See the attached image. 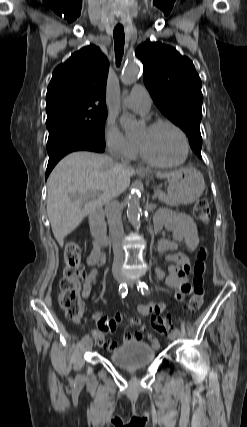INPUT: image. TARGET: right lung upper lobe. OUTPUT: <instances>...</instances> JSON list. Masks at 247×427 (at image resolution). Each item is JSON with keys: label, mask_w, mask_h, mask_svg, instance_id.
<instances>
[{"label": "right lung upper lobe", "mask_w": 247, "mask_h": 427, "mask_svg": "<svg viewBox=\"0 0 247 427\" xmlns=\"http://www.w3.org/2000/svg\"><path fill=\"white\" fill-rule=\"evenodd\" d=\"M108 61L90 45L75 52L53 71L47 89L46 112L64 107L105 106Z\"/></svg>", "instance_id": "cb5924a9"}]
</instances>
